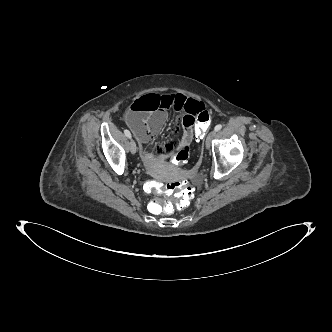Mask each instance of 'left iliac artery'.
Segmentation results:
<instances>
[{
	"label": "left iliac artery",
	"instance_id": "left-iliac-artery-1",
	"mask_svg": "<svg viewBox=\"0 0 332 332\" xmlns=\"http://www.w3.org/2000/svg\"><path fill=\"white\" fill-rule=\"evenodd\" d=\"M221 129H222V125H221V124L216 125L215 128H214V130H215L216 132H218V131L221 130Z\"/></svg>",
	"mask_w": 332,
	"mask_h": 332
}]
</instances>
